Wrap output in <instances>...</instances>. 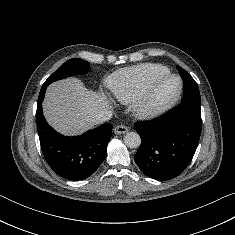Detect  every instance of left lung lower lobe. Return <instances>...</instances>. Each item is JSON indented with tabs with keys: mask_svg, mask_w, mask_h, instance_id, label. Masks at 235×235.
Segmentation results:
<instances>
[{
	"mask_svg": "<svg viewBox=\"0 0 235 235\" xmlns=\"http://www.w3.org/2000/svg\"><path fill=\"white\" fill-rule=\"evenodd\" d=\"M183 92H193L186 77ZM135 130L141 146L134 156L148 177L165 181L182 173L191 162L201 134V101L182 100L167 113L148 121L137 122Z\"/></svg>",
	"mask_w": 235,
	"mask_h": 235,
	"instance_id": "1",
	"label": "left lung lower lobe"
}]
</instances>
